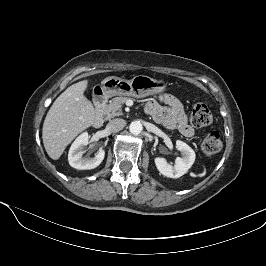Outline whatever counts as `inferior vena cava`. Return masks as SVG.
<instances>
[{"instance_id": "obj_1", "label": "inferior vena cava", "mask_w": 266, "mask_h": 266, "mask_svg": "<svg viewBox=\"0 0 266 266\" xmlns=\"http://www.w3.org/2000/svg\"><path fill=\"white\" fill-rule=\"evenodd\" d=\"M125 124H126V121L124 119L116 118V119L111 120L108 123L107 127L112 132H118L124 128Z\"/></svg>"}]
</instances>
